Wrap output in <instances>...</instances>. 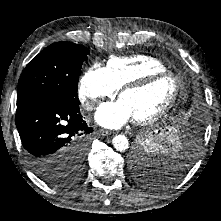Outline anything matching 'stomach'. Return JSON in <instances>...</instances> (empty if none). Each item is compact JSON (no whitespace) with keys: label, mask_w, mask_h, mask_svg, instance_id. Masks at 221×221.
<instances>
[{"label":"stomach","mask_w":221,"mask_h":221,"mask_svg":"<svg viewBox=\"0 0 221 221\" xmlns=\"http://www.w3.org/2000/svg\"><path fill=\"white\" fill-rule=\"evenodd\" d=\"M167 131H168V130H167ZM169 134H170V132H169ZM169 143H170V140H169V138H168V139L165 140L164 146H167V144H169Z\"/></svg>","instance_id":"0dacf381"}]
</instances>
